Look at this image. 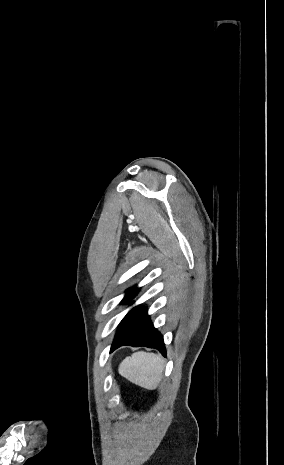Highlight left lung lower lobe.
I'll use <instances>...</instances> for the list:
<instances>
[{
  "instance_id": "left-lung-lower-lobe-1",
  "label": "left lung lower lobe",
  "mask_w": 284,
  "mask_h": 465,
  "mask_svg": "<svg viewBox=\"0 0 284 465\" xmlns=\"http://www.w3.org/2000/svg\"><path fill=\"white\" fill-rule=\"evenodd\" d=\"M123 345L155 348L166 356L163 336L152 325L146 310L140 306L129 311L119 324L110 352Z\"/></svg>"
}]
</instances>
